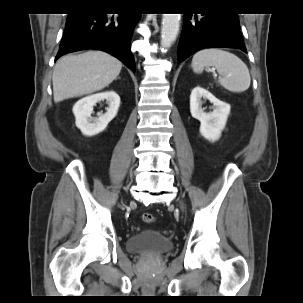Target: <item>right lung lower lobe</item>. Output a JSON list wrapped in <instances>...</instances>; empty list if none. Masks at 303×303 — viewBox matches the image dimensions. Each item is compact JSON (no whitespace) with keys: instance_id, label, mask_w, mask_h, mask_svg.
<instances>
[{"instance_id":"1","label":"right lung lower lobe","mask_w":303,"mask_h":303,"mask_svg":"<svg viewBox=\"0 0 303 303\" xmlns=\"http://www.w3.org/2000/svg\"><path fill=\"white\" fill-rule=\"evenodd\" d=\"M139 18L138 13L110 17L89 7L70 13L55 61L64 54L91 48L112 54L135 70L130 41Z\"/></svg>"}]
</instances>
